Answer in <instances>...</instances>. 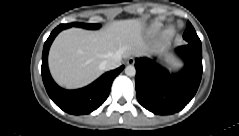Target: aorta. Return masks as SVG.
I'll list each match as a JSON object with an SVG mask.
<instances>
[{"instance_id":"obj_1","label":"aorta","mask_w":239,"mask_h":136,"mask_svg":"<svg viewBox=\"0 0 239 136\" xmlns=\"http://www.w3.org/2000/svg\"><path fill=\"white\" fill-rule=\"evenodd\" d=\"M125 74L127 76H130V77H133L136 75V69L133 65H128L126 68H125Z\"/></svg>"}]
</instances>
